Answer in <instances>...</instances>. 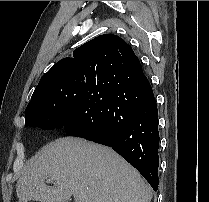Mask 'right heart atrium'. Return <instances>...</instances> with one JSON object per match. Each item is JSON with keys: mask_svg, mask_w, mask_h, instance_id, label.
I'll return each instance as SVG.
<instances>
[{"mask_svg": "<svg viewBox=\"0 0 209 202\" xmlns=\"http://www.w3.org/2000/svg\"><path fill=\"white\" fill-rule=\"evenodd\" d=\"M51 133H56V130H52Z\"/></svg>", "mask_w": 209, "mask_h": 202, "instance_id": "1", "label": "right heart atrium"}]
</instances>
